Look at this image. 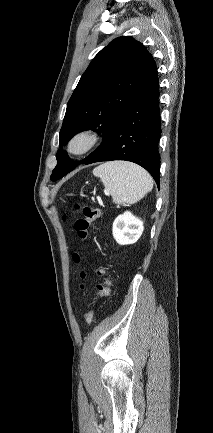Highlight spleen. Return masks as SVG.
<instances>
[{
    "label": "spleen",
    "instance_id": "obj_1",
    "mask_svg": "<svg viewBox=\"0 0 213 433\" xmlns=\"http://www.w3.org/2000/svg\"><path fill=\"white\" fill-rule=\"evenodd\" d=\"M93 175L100 178L106 193L111 195L113 202L118 205L134 204L153 188L149 173L126 161L103 163L93 170Z\"/></svg>",
    "mask_w": 213,
    "mask_h": 433
}]
</instances>
